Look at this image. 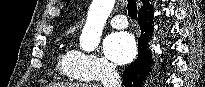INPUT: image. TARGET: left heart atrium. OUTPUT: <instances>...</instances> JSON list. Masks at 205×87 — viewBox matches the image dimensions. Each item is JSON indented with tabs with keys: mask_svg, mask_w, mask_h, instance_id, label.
Returning <instances> with one entry per match:
<instances>
[{
	"mask_svg": "<svg viewBox=\"0 0 205 87\" xmlns=\"http://www.w3.org/2000/svg\"><path fill=\"white\" fill-rule=\"evenodd\" d=\"M106 57L113 63L122 65L130 62L136 55V43L127 32L109 35L103 45Z\"/></svg>",
	"mask_w": 205,
	"mask_h": 87,
	"instance_id": "obj_1",
	"label": "left heart atrium"
}]
</instances>
